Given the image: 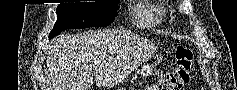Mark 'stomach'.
<instances>
[{"mask_svg": "<svg viewBox=\"0 0 237 90\" xmlns=\"http://www.w3.org/2000/svg\"><path fill=\"white\" fill-rule=\"evenodd\" d=\"M154 70L155 68L152 65L144 64L137 70V74L146 79L153 74Z\"/></svg>", "mask_w": 237, "mask_h": 90, "instance_id": "obj_1", "label": "stomach"}]
</instances>
